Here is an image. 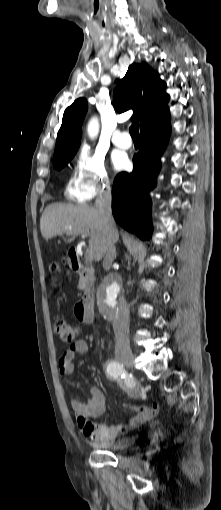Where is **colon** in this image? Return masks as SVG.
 I'll return each mask as SVG.
<instances>
[{
	"mask_svg": "<svg viewBox=\"0 0 221 510\" xmlns=\"http://www.w3.org/2000/svg\"><path fill=\"white\" fill-rule=\"evenodd\" d=\"M63 264H65V265L70 264V259L65 257L63 260ZM60 269H61V266L59 263H53L51 265V270L53 272H58V271H60ZM53 330H54V333L56 334V336L64 344H72L79 333V328L76 324H74L68 320L62 319V318L56 319L54 321ZM81 431H82V429H81Z\"/></svg>",
	"mask_w": 221,
	"mask_h": 510,
	"instance_id": "5ec220e1",
	"label": "colon"
}]
</instances>
